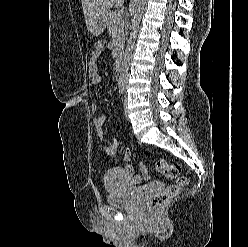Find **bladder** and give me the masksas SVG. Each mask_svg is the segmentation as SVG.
Returning <instances> with one entry per match:
<instances>
[{
	"label": "bladder",
	"mask_w": 248,
	"mask_h": 247,
	"mask_svg": "<svg viewBox=\"0 0 248 247\" xmlns=\"http://www.w3.org/2000/svg\"><path fill=\"white\" fill-rule=\"evenodd\" d=\"M108 203L116 208H131L139 199L144 187H133L123 169L112 168L104 176Z\"/></svg>",
	"instance_id": "obj_1"
}]
</instances>
